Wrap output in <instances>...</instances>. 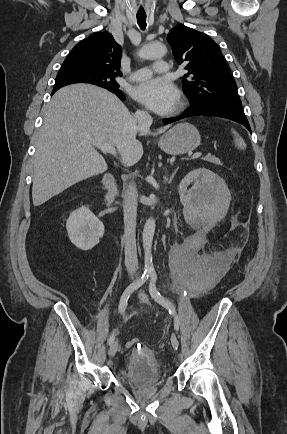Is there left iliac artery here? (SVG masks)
I'll use <instances>...</instances> for the list:
<instances>
[{
	"label": "left iliac artery",
	"instance_id": "left-iliac-artery-1",
	"mask_svg": "<svg viewBox=\"0 0 287 434\" xmlns=\"http://www.w3.org/2000/svg\"><path fill=\"white\" fill-rule=\"evenodd\" d=\"M150 277H151V280H150V284H149V293H150L152 299H154V301L159 303L161 306L165 307L169 311V313L174 316V329L176 331H178L179 326H180V322H179V318L176 315V311H175V308H174L172 302L169 299L162 296L159 293V291L157 290V288H156L157 274L155 271H152L150 273Z\"/></svg>",
	"mask_w": 287,
	"mask_h": 434
}]
</instances>
